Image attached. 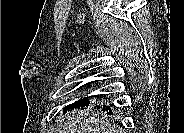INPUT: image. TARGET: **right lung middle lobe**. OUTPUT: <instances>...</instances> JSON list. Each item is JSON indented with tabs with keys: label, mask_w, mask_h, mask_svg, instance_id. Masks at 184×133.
Returning a JSON list of instances; mask_svg holds the SVG:
<instances>
[{
	"label": "right lung middle lobe",
	"mask_w": 184,
	"mask_h": 133,
	"mask_svg": "<svg viewBox=\"0 0 184 133\" xmlns=\"http://www.w3.org/2000/svg\"><path fill=\"white\" fill-rule=\"evenodd\" d=\"M89 98H90V97H85V98H83V99H81V100H79V101H76L75 103L66 106L63 110L67 111V110H72V109H74V108L83 107V106L87 105L88 103H90V102L88 101ZM99 108H103V111H105V109H106V110L109 109V107H108V106H105V105H102V106L100 105V106H98V109H99ZM110 114H111V113H110Z\"/></svg>",
	"instance_id": "right-lung-middle-lobe-1"
}]
</instances>
